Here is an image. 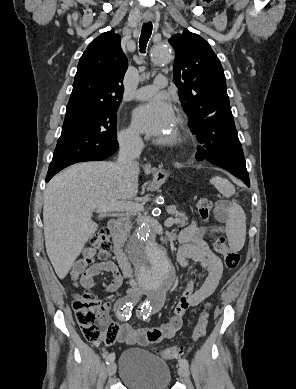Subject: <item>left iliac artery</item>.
I'll list each match as a JSON object with an SVG mask.
<instances>
[{
    "label": "left iliac artery",
    "mask_w": 296,
    "mask_h": 389,
    "mask_svg": "<svg viewBox=\"0 0 296 389\" xmlns=\"http://www.w3.org/2000/svg\"><path fill=\"white\" fill-rule=\"evenodd\" d=\"M154 312V309L150 306L149 302H144L140 305L137 315L142 317L144 320L148 318V316ZM180 366L189 367L188 361L185 358L179 360Z\"/></svg>",
    "instance_id": "left-iliac-artery-1"
}]
</instances>
